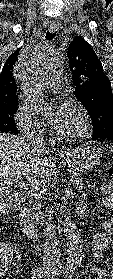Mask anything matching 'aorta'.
Instances as JSON below:
<instances>
[{
    "label": "aorta",
    "mask_w": 113,
    "mask_h": 279,
    "mask_svg": "<svg viewBox=\"0 0 113 279\" xmlns=\"http://www.w3.org/2000/svg\"><path fill=\"white\" fill-rule=\"evenodd\" d=\"M65 57L63 54L54 52L50 55L44 57V65L47 70H52L61 66L64 63ZM47 106V99L40 100V109H45ZM63 231L66 239L67 247V263L66 267L68 269H75L81 265L82 261V244L81 236L77 229L74 220L68 215L64 216L63 219Z\"/></svg>",
    "instance_id": "obj_1"
}]
</instances>
